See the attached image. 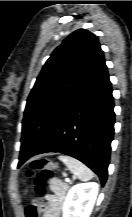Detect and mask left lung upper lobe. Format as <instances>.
Masks as SVG:
<instances>
[{
    "label": "left lung upper lobe",
    "mask_w": 132,
    "mask_h": 217,
    "mask_svg": "<svg viewBox=\"0 0 132 217\" xmlns=\"http://www.w3.org/2000/svg\"><path fill=\"white\" fill-rule=\"evenodd\" d=\"M104 62L97 36L85 29L71 33L53 51L27 99L21 142L28 152L40 145Z\"/></svg>",
    "instance_id": "obj_1"
}]
</instances>
